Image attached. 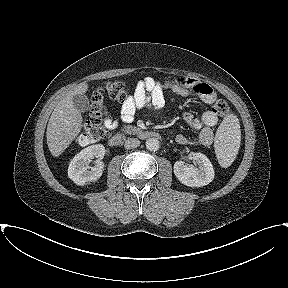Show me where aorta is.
<instances>
[{"label": "aorta", "mask_w": 288, "mask_h": 288, "mask_svg": "<svg viewBox=\"0 0 288 288\" xmlns=\"http://www.w3.org/2000/svg\"><path fill=\"white\" fill-rule=\"evenodd\" d=\"M146 148L150 151H157L160 147V143L156 138H149L145 142Z\"/></svg>", "instance_id": "1"}]
</instances>
